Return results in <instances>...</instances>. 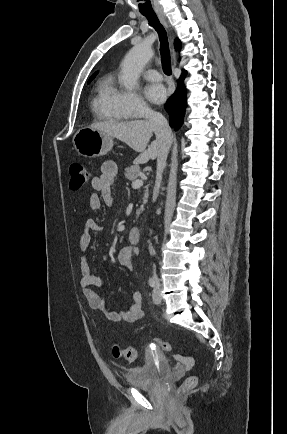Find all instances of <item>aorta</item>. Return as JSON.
<instances>
[{"label":"aorta","instance_id":"762f6f07","mask_svg":"<svg viewBox=\"0 0 287 434\" xmlns=\"http://www.w3.org/2000/svg\"><path fill=\"white\" fill-rule=\"evenodd\" d=\"M152 57V49L144 44L135 45L127 53L122 61L121 77L126 89L132 90L136 87L140 73Z\"/></svg>","mask_w":287,"mask_h":434}]
</instances>
